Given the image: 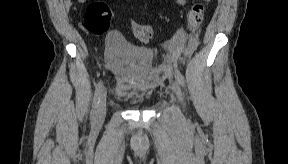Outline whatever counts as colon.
<instances>
[{
    "instance_id": "5ec220e1",
    "label": "colon",
    "mask_w": 288,
    "mask_h": 164,
    "mask_svg": "<svg viewBox=\"0 0 288 164\" xmlns=\"http://www.w3.org/2000/svg\"><path fill=\"white\" fill-rule=\"evenodd\" d=\"M204 14L205 5L203 3H196L189 9L186 17L189 30H197L203 20ZM112 18L113 13L104 1H93L86 11L84 27L95 35H102L109 30ZM129 27L140 41L146 43L152 39V33L147 26L132 21Z\"/></svg>"
}]
</instances>
